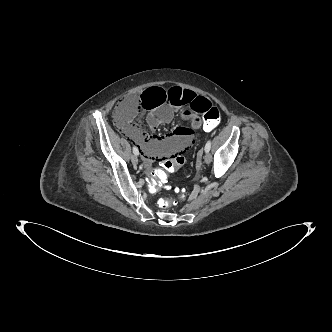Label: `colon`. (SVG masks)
<instances>
[{
	"label": "colon",
	"mask_w": 332,
	"mask_h": 332,
	"mask_svg": "<svg viewBox=\"0 0 332 332\" xmlns=\"http://www.w3.org/2000/svg\"><path fill=\"white\" fill-rule=\"evenodd\" d=\"M139 96H130L123 99L115 110V119L121 125H129L131 119L135 116L138 111L137 100ZM203 119L199 125L198 130L201 133H212L215 127L219 125L221 121V112L215 106H209L204 110ZM192 154L190 152H176L172 156L166 158L163 161L162 167L153 171L149 177V189L153 192L168 187L167 175L176 171L183 170L186 164L192 161ZM185 194H180L177 198H162L159 200L161 207H169L177 205L179 202L184 200Z\"/></svg>",
	"instance_id": "colon-1"
}]
</instances>
